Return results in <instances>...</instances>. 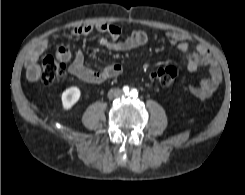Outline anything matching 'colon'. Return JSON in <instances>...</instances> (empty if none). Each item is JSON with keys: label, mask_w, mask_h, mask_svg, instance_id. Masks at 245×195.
Instances as JSON below:
<instances>
[{"label": "colon", "mask_w": 245, "mask_h": 195, "mask_svg": "<svg viewBox=\"0 0 245 195\" xmlns=\"http://www.w3.org/2000/svg\"><path fill=\"white\" fill-rule=\"evenodd\" d=\"M66 73V64L60 59L52 56H46L42 61L41 79L45 84H51L64 77ZM178 75V69L175 66L168 65L158 68L151 74V78L161 86H168L174 82Z\"/></svg>", "instance_id": "colon-1"}]
</instances>
